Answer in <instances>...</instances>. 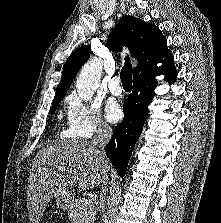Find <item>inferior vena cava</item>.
<instances>
[{
	"mask_svg": "<svg viewBox=\"0 0 221 223\" xmlns=\"http://www.w3.org/2000/svg\"><path fill=\"white\" fill-rule=\"evenodd\" d=\"M112 135V129L110 126L105 122H99L95 129V136L92 139V145L99 147V154L102 158H105L104 147L109 142ZM101 195H100V202L101 205H104L106 192H107V177L104 176L101 181Z\"/></svg>",
	"mask_w": 221,
	"mask_h": 223,
	"instance_id": "inferior-vena-cava-1",
	"label": "inferior vena cava"
}]
</instances>
